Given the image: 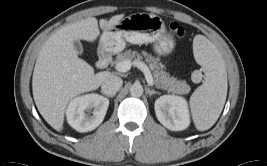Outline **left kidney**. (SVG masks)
Masks as SVG:
<instances>
[{
  "label": "left kidney",
  "instance_id": "5707ae66",
  "mask_svg": "<svg viewBox=\"0 0 267 166\" xmlns=\"http://www.w3.org/2000/svg\"><path fill=\"white\" fill-rule=\"evenodd\" d=\"M154 108L157 119L169 130L181 131L190 124L188 104L183 97L163 95L155 101Z\"/></svg>",
  "mask_w": 267,
  "mask_h": 166
}]
</instances>
